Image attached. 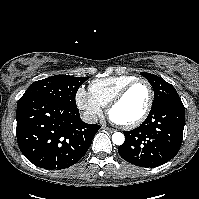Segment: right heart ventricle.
I'll return each mask as SVG.
<instances>
[{
  "label": "right heart ventricle",
  "mask_w": 199,
  "mask_h": 199,
  "mask_svg": "<svg viewBox=\"0 0 199 199\" xmlns=\"http://www.w3.org/2000/svg\"><path fill=\"white\" fill-rule=\"evenodd\" d=\"M135 78L132 76H113L91 82L89 92L101 106H107L112 99Z\"/></svg>",
  "instance_id": "e07e8e85"
}]
</instances>
